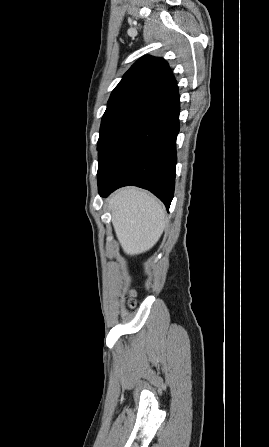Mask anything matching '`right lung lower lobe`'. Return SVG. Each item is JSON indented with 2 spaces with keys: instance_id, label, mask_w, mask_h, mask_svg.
Instances as JSON below:
<instances>
[{
  "instance_id": "98d812e1",
  "label": "right lung lower lobe",
  "mask_w": 269,
  "mask_h": 447,
  "mask_svg": "<svg viewBox=\"0 0 269 447\" xmlns=\"http://www.w3.org/2000/svg\"><path fill=\"white\" fill-rule=\"evenodd\" d=\"M179 111L178 87L174 85L119 123L99 154L97 179L102 197L119 187L135 185L151 191L169 210Z\"/></svg>"
}]
</instances>
